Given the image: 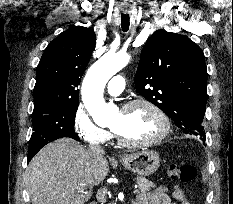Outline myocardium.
Here are the masks:
<instances>
[{
    "mask_svg": "<svg viewBox=\"0 0 233 204\" xmlns=\"http://www.w3.org/2000/svg\"><path fill=\"white\" fill-rule=\"evenodd\" d=\"M137 106H145L156 114V116L159 118V120L162 123V129L160 133L157 134L152 139L146 141H130L124 138L123 136H121L115 130L111 129L118 143L126 147L144 148V147H150L156 145L161 141H163L169 135L171 129V123L168 115L157 104L144 98H137L128 101L121 107V110L127 111Z\"/></svg>",
    "mask_w": 233,
    "mask_h": 204,
    "instance_id": "obj_1",
    "label": "myocardium"
}]
</instances>
